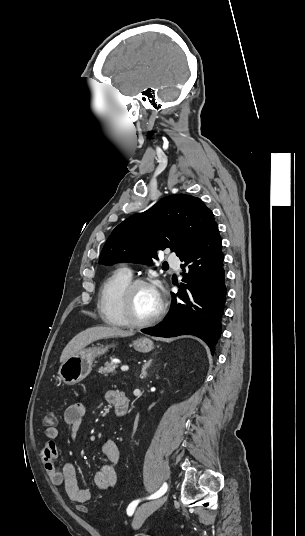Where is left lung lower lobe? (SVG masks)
<instances>
[{
    "label": "left lung lower lobe",
    "instance_id": "obj_1",
    "mask_svg": "<svg viewBox=\"0 0 305 536\" xmlns=\"http://www.w3.org/2000/svg\"><path fill=\"white\" fill-rule=\"evenodd\" d=\"M218 227H215L189 254L180 258L183 283L172 294L171 310L158 325L142 332L158 337L194 335L204 340L214 353L221 335L227 289L224 256Z\"/></svg>",
    "mask_w": 305,
    "mask_h": 536
}]
</instances>
